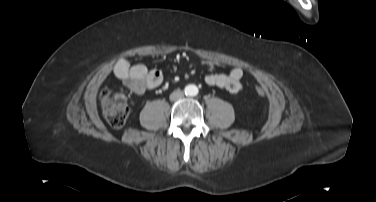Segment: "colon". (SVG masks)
<instances>
[{
	"instance_id": "obj_1",
	"label": "colon",
	"mask_w": 376,
	"mask_h": 202,
	"mask_svg": "<svg viewBox=\"0 0 376 202\" xmlns=\"http://www.w3.org/2000/svg\"><path fill=\"white\" fill-rule=\"evenodd\" d=\"M256 92L259 96L265 95L263 87H257ZM101 108L107 123L115 128H121L129 115L128 100L125 94H110L104 91L101 95Z\"/></svg>"
}]
</instances>
